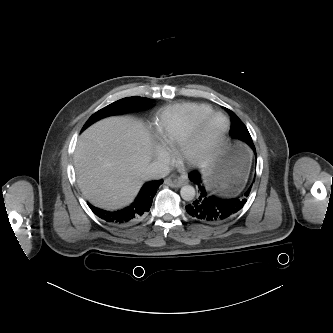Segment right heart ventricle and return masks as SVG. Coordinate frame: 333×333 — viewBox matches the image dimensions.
Returning a JSON list of instances; mask_svg holds the SVG:
<instances>
[{
  "label": "right heart ventricle",
  "mask_w": 333,
  "mask_h": 333,
  "mask_svg": "<svg viewBox=\"0 0 333 333\" xmlns=\"http://www.w3.org/2000/svg\"><path fill=\"white\" fill-rule=\"evenodd\" d=\"M213 111L204 103H182L164 108L155 120V134L166 149L178 147L193 124Z\"/></svg>",
  "instance_id": "1"
}]
</instances>
